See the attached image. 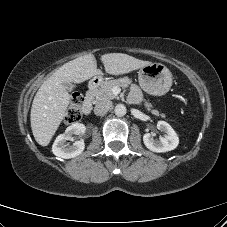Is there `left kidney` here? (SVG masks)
Instances as JSON below:
<instances>
[{"label": "left kidney", "mask_w": 227, "mask_h": 227, "mask_svg": "<svg viewBox=\"0 0 227 227\" xmlns=\"http://www.w3.org/2000/svg\"><path fill=\"white\" fill-rule=\"evenodd\" d=\"M157 128L164 132L165 136L154 139L150 133H146L143 136L145 146L157 153L174 150L179 144V138L174 129L165 121H158Z\"/></svg>", "instance_id": "1"}]
</instances>
